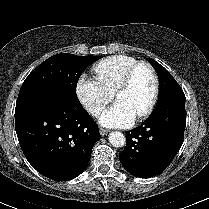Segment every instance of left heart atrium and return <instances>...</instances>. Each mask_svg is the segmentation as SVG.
<instances>
[{"label": "left heart atrium", "instance_id": "39dd6f15", "mask_svg": "<svg viewBox=\"0 0 209 209\" xmlns=\"http://www.w3.org/2000/svg\"><path fill=\"white\" fill-rule=\"evenodd\" d=\"M136 119L134 112L122 101H116L100 116V123L107 127H127Z\"/></svg>", "mask_w": 209, "mask_h": 209}]
</instances>
